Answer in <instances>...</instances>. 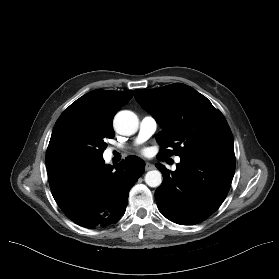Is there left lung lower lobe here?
I'll return each instance as SVG.
<instances>
[{
    "label": "left lung lower lobe",
    "instance_id": "left-lung-lower-lobe-1",
    "mask_svg": "<svg viewBox=\"0 0 279 279\" xmlns=\"http://www.w3.org/2000/svg\"><path fill=\"white\" fill-rule=\"evenodd\" d=\"M156 166L163 175L155 192L159 211L172 222L193 225L208 218L223 203L234 176L235 156L186 154L180 157L174 172Z\"/></svg>",
    "mask_w": 279,
    "mask_h": 279
}]
</instances>
